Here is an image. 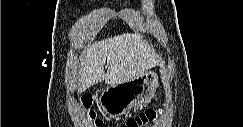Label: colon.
Masks as SVG:
<instances>
[{
  "label": "colon",
  "mask_w": 243,
  "mask_h": 127,
  "mask_svg": "<svg viewBox=\"0 0 243 127\" xmlns=\"http://www.w3.org/2000/svg\"><path fill=\"white\" fill-rule=\"evenodd\" d=\"M93 97L91 94H85L81 97V106L87 110L90 119L93 121L95 126L101 127L103 122L97 118L95 112L92 109ZM160 109H147L138 113L135 116L127 119L125 127H143L154 121L160 114Z\"/></svg>",
  "instance_id": "colon-1"
}]
</instances>
